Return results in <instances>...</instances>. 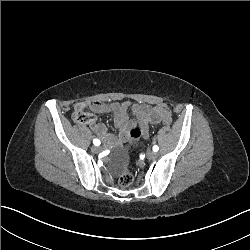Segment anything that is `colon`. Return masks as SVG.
I'll list each match as a JSON object with an SVG mask.
<instances>
[{"label": "colon", "mask_w": 250, "mask_h": 250, "mask_svg": "<svg viewBox=\"0 0 250 250\" xmlns=\"http://www.w3.org/2000/svg\"><path fill=\"white\" fill-rule=\"evenodd\" d=\"M157 110L160 113V115L162 117H164L162 119L163 124L166 127H169L172 124V121H171L172 119L170 116H168V114H169L168 111L162 105L159 106ZM73 120L78 124L88 125V124L93 123L94 117L86 111L79 110V111H75L73 113ZM129 132H130L131 139H128L127 143L123 144L124 150H129L130 146H133L134 143L139 141L142 131L138 127H136V128L133 127L130 129ZM133 181H134V174L132 172H129V171H124L120 175V177L117 179V186L119 188H126V187L130 186Z\"/></svg>", "instance_id": "colon-1"}]
</instances>
